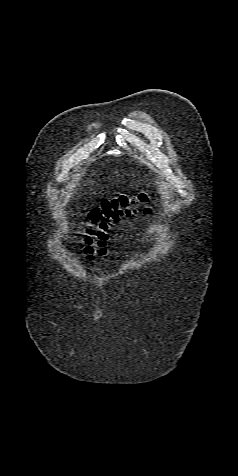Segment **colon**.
I'll list each match as a JSON object with an SVG mask.
<instances>
[{"label":"colon","instance_id":"5ec220e1","mask_svg":"<svg viewBox=\"0 0 238 476\" xmlns=\"http://www.w3.org/2000/svg\"><path fill=\"white\" fill-rule=\"evenodd\" d=\"M149 197L145 192L118 195L104 199L89 212L85 250L90 258H101L107 253L108 233L119 220L134 215L140 208L148 211Z\"/></svg>","mask_w":238,"mask_h":476}]
</instances>
